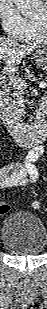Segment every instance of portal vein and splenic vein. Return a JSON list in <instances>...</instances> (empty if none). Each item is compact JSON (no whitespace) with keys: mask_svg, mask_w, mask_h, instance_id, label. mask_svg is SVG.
<instances>
[{"mask_svg":"<svg viewBox=\"0 0 47 309\" xmlns=\"http://www.w3.org/2000/svg\"><path fill=\"white\" fill-rule=\"evenodd\" d=\"M3 79V82L5 81V77L2 78ZM9 85L21 90V89H26L27 87V83L22 80V79H19V78H16V77H11L10 80H9ZM46 83L45 82H42L41 83V86L42 87H46Z\"/></svg>","mask_w":47,"mask_h":309,"instance_id":"portal-vein-and-splenic-vein-1","label":"portal vein and splenic vein"}]
</instances>
